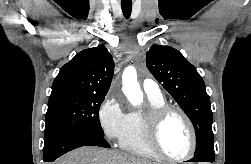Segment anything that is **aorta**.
Returning a JSON list of instances; mask_svg holds the SVG:
<instances>
[{
	"mask_svg": "<svg viewBox=\"0 0 251 164\" xmlns=\"http://www.w3.org/2000/svg\"><path fill=\"white\" fill-rule=\"evenodd\" d=\"M122 82V90L129 102L134 106L140 105L143 101V92L141 91L140 85L137 81L136 69L133 66L125 68L122 75Z\"/></svg>",
	"mask_w": 251,
	"mask_h": 164,
	"instance_id": "obj_1",
	"label": "aorta"
}]
</instances>
